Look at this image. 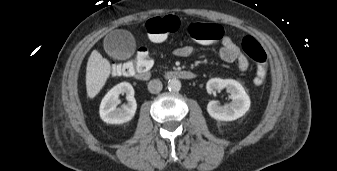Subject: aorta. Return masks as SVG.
I'll use <instances>...</instances> for the list:
<instances>
[{
	"label": "aorta",
	"instance_id": "1",
	"mask_svg": "<svg viewBox=\"0 0 337 171\" xmlns=\"http://www.w3.org/2000/svg\"><path fill=\"white\" fill-rule=\"evenodd\" d=\"M168 89L170 91H179L181 89V82L176 79V78H172L168 81Z\"/></svg>",
	"mask_w": 337,
	"mask_h": 171
}]
</instances>
